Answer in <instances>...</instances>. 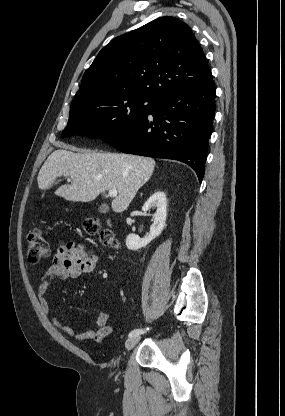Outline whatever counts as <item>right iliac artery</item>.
Instances as JSON below:
<instances>
[{"label": "right iliac artery", "mask_w": 285, "mask_h": 416, "mask_svg": "<svg viewBox=\"0 0 285 416\" xmlns=\"http://www.w3.org/2000/svg\"><path fill=\"white\" fill-rule=\"evenodd\" d=\"M146 330H149V328H146ZM144 332L145 330L141 328L134 329L129 333V337L138 336L139 334H143Z\"/></svg>", "instance_id": "1"}]
</instances>
